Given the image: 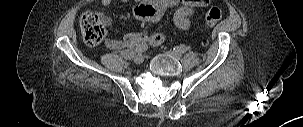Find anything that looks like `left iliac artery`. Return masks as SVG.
<instances>
[{
	"label": "left iliac artery",
	"instance_id": "1",
	"mask_svg": "<svg viewBox=\"0 0 303 127\" xmlns=\"http://www.w3.org/2000/svg\"><path fill=\"white\" fill-rule=\"evenodd\" d=\"M176 50H179L180 52L185 53L187 51V48L184 45H180L176 48Z\"/></svg>",
	"mask_w": 303,
	"mask_h": 127
}]
</instances>
